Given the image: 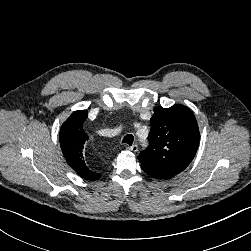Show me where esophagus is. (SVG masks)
Returning a JSON list of instances; mask_svg holds the SVG:
<instances>
[{
  "label": "esophagus",
  "mask_w": 251,
  "mask_h": 251,
  "mask_svg": "<svg viewBox=\"0 0 251 251\" xmlns=\"http://www.w3.org/2000/svg\"><path fill=\"white\" fill-rule=\"evenodd\" d=\"M129 148V150H131L132 152H137L138 151V145H136V144H134V145H132V146H130V147H128Z\"/></svg>",
  "instance_id": "1"
}]
</instances>
